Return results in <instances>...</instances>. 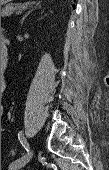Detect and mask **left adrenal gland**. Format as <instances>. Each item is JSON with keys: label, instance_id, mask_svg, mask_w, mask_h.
<instances>
[{"label": "left adrenal gland", "instance_id": "left-adrenal-gland-1", "mask_svg": "<svg viewBox=\"0 0 109 170\" xmlns=\"http://www.w3.org/2000/svg\"><path fill=\"white\" fill-rule=\"evenodd\" d=\"M39 5H40V1L36 4V6H35L33 9H35V8L38 7ZM33 9H31L30 11H28V12L23 16V18H22V20H21V24H23L25 18L33 11Z\"/></svg>", "mask_w": 109, "mask_h": 170}]
</instances>
